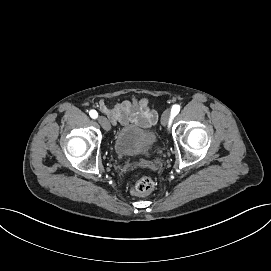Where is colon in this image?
<instances>
[{
  "label": "colon",
  "mask_w": 271,
  "mask_h": 271,
  "mask_svg": "<svg viewBox=\"0 0 271 271\" xmlns=\"http://www.w3.org/2000/svg\"><path fill=\"white\" fill-rule=\"evenodd\" d=\"M149 156V153H146ZM154 181L149 177H142L132 187V192L136 195L149 194L154 189Z\"/></svg>",
  "instance_id": "colon-1"
}]
</instances>
